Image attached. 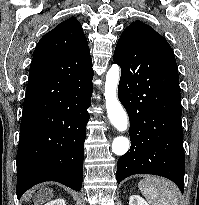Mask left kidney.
I'll return each instance as SVG.
<instances>
[{"label":"left kidney","instance_id":"5707ae66","mask_svg":"<svg viewBox=\"0 0 199 205\" xmlns=\"http://www.w3.org/2000/svg\"><path fill=\"white\" fill-rule=\"evenodd\" d=\"M129 205H149L141 196L132 195L129 199Z\"/></svg>","mask_w":199,"mask_h":205}]
</instances>
